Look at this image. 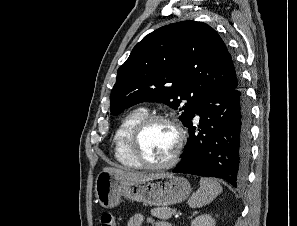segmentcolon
<instances>
[{"label":"colon","instance_id":"obj_1","mask_svg":"<svg viewBox=\"0 0 297 226\" xmlns=\"http://www.w3.org/2000/svg\"><path fill=\"white\" fill-rule=\"evenodd\" d=\"M100 226H118L111 213H103L100 217Z\"/></svg>","mask_w":297,"mask_h":226}]
</instances>
